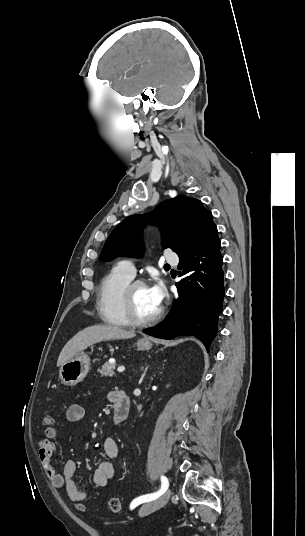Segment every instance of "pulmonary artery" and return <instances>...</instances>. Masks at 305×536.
<instances>
[{
    "mask_svg": "<svg viewBox=\"0 0 305 536\" xmlns=\"http://www.w3.org/2000/svg\"><path fill=\"white\" fill-rule=\"evenodd\" d=\"M168 260H169L170 263L175 264V263L178 262L179 257H178L177 254L172 253V254L169 255ZM118 268H119L124 274H126L127 276H129L130 278H134V277H135L136 269H135L134 265H133L131 262L123 261V262L119 263Z\"/></svg>",
    "mask_w": 305,
    "mask_h": 536,
    "instance_id": "obj_1",
    "label": "pulmonary artery"
}]
</instances>
